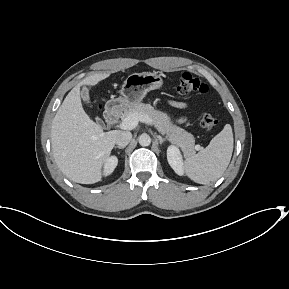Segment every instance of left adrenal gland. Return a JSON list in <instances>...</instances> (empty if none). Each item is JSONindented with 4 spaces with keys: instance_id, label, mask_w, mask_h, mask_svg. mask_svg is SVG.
Listing matches in <instances>:
<instances>
[{
    "instance_id": "a2214340",
    "label": "left adrenal gland",
    "mask_w": 289,
    "mask_h": 289,
    "mask_svg": "<svg viewBox=\"0 0 289 289\" xmlns=\"http://www.w3.org/2000/svg\"><path fill=\"white\" fill-rule=\"evenodd\" d=\"M156 137H157V140L159 141L160 145H161L163 142H165V141H166V139H165V138H163V137H162V136H160V135H157Z\"/></svg>"
}]
</instances>
